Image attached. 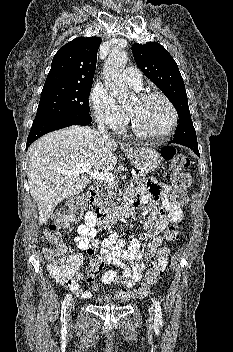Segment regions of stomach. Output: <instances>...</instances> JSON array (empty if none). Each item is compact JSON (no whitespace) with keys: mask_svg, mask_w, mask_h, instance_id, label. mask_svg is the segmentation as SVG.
Returning a JSON list of instances; mask_svg holds the SVG:
<instances>
[{"mask_svg":"<svg viewBox=\"0 0 233 352\" xmlns=\"http://www.w3.org/2000/svg\"><path fill=\"white\" fill-rule=\"evenodd\" d=\"M125 152L131 163L145 173L156 169L161 162L159 153L149 147L129 148Z\"/></svg>","mask_w":233,"mask_h":352,"instance_id":"0dacf381","label":"stomach"}]
</instances>
